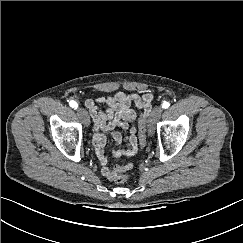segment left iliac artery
<instances>
[{"instance_id":"1","label":"left iliac artery","mask_w":243,"mask_h":243,"mask_svg":"<svg viewBox=\"0 0 243 243\" xmlns=\"http://www.w3.org/2000/svg\"><path fill=\"white\" fill-rule=\"evenodd\" d=\"M170 106V103L167 102V101H164L163 104H162V108L166 109Z\"/></svg>"}]
</instances>
